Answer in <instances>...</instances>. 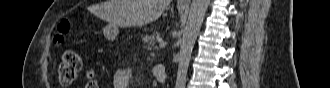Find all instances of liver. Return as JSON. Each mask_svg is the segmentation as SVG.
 I'll return each mask as SVG.
<instances>
[{
    "label": "liver",
    "mask_w": 330,
    "mask_h": 88,
    "mask_svg": "<svg viewBox=\"0 0 330 88\" xmlns=\"http://www.w3.org/2000/svg\"><path fill=\"white\" fill-rule=\"evenodd\" d=\"M171 0H107L98 15L110 25L135 27L158 19Z\"/></svg>",
    "instance_id": "obj_1"
}]
</instances>
